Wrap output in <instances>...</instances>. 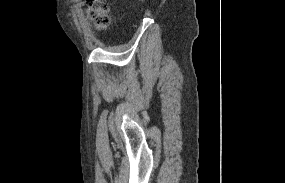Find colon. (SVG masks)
<instances>
[{
    "instance_id": "1",
    "label": "colon",
    "mask_w": 285,
    "mask_h": 183,
    "mask_svg": "<svg viewBox=\"0 0 285 183\" xmlns=\"http://www.w3.org/2000/svg\"><path fill=\"white\" fill-rule=\"evenodd\" d=\"M86 9L97 29H105L110 23V0H87Z\"/></svg>"
}]
</instances>
